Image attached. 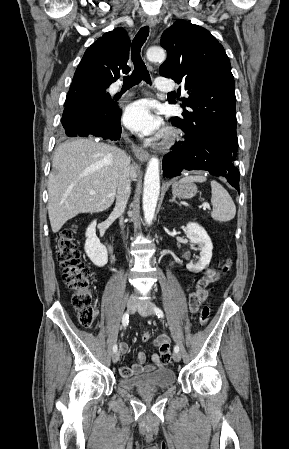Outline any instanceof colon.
Instances as JSON below:
<instances>
[{"mask_svg":"<svg viewBox=\"0 0 289 449\" xmlns=\"http://www.w3.org/2000/svg\"><path fill=\"white\" fill-rule=\"evenodd\" d=\"M76 228V225H72L61 232L57 242L56 252L63 269L64 282L72 292V303L78 311L79 321L82 326L89 328L94 324L97 312L92 303L89 272L80 259L75 239ZM231 268L232 260L227 259L221 267V272L226 274ZM209 316L210 308L208 305H204L199 314L200 325H206ZM149 339L150 334L148 332L143 333L142 340L147 342Z\"/></svg>","mask_w":289,"mask_h":449,"instance_id":"1","label":"colon"}]
</instances>
